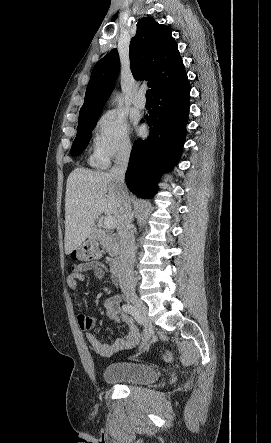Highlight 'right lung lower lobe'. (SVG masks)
I'll return each instance as SVG.
<instances>
[{
    "label": "right lung lower lobe",
    "mask_w": 271,
    "mask_h": 443,
    "mask_svg": "<svg viewBox=\"0 0 271 443\" xmlns=\"http://www.w3.org/2000/svg\"><path fill=\"white\" fill-rule=\"evenodd\" d=\"M153 98L154 107L146 116L150 134L134 142L126 172L128 188L141 198H151L156 193L161 173L180 158L189 113L188 78L158 91Z\"/></svg>",
    "instance_id": "98d812e1"
}]
</instances>
